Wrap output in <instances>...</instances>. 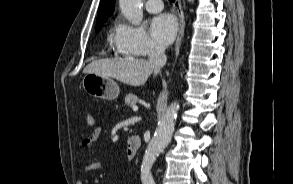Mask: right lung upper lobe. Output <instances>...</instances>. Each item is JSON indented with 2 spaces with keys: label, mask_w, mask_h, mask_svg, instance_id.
Returning a JSON list of instances; mask_svg holds the SVG:
<instances>
[{
  "label": "right lung upper lobe",
  "mask_w": 293,
  "mask_h": 184,
  "mask_svg": "<svg viewBox=\"0 0 293 184\" xmlns=\"http://www.w3.org/2000/svg\"><path fill=\"white\" fill-rule=\"evenodd\" d=\"M115 9V0H101L98 9L96 26L103 25Z\"/></svg>",
  "instance_id": "1"
}]
</instances>
